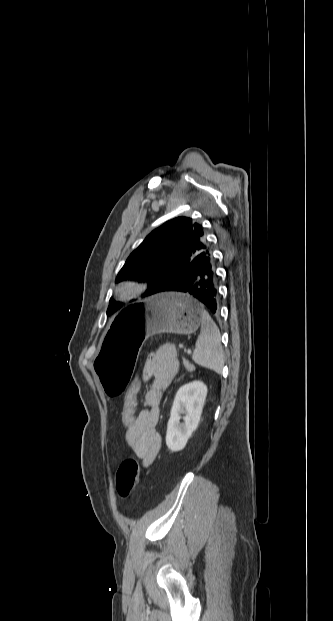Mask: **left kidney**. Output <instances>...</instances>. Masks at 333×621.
<instances>
[{"label":"left kidney","mask_w":333,"mask_h":621,"mask_svg":"<svg viewBox=\"0 0 333 621\" xmlns=\"http://www.w3.org/2000/svg\"><path fill=\"white\" fill-rule=\"evenodd\" d=\"M207 396V386L201 381L183 385L176 393L167 425L166 445L173 451L182 450L198 427ZM183 414L184 423H180Z\"/></svg>","instance_id":"obj_1"}]
</instances>
